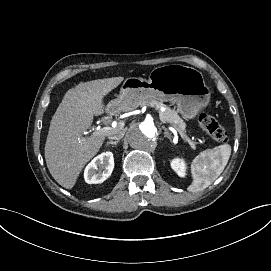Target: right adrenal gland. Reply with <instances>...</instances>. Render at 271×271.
<instances>
[{
    "label": "right adrenal gland",
    "instance_id": "obj_1",
    "mask_svg": "<svg viewBox=\"0 0 271 271\" xmlns=\"http://www.w3.org/2000/svg\"><path fill=\"white\" fill-rule=\"evenodd\" d=\"M119 141H109L106 145H116Z\"/></svg>",
    "mask_w": 271,
    "mask_h": 271
}]
</instances>
